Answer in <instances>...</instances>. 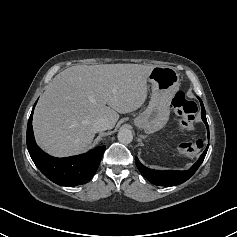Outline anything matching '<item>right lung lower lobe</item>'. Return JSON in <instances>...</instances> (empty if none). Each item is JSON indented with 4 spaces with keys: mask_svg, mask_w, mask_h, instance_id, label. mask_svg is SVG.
Listing matches in <instances>:
<instances>
[{
    "mask_svg": "<svg viewBox=\"0 0 237 237\" xmlns=\"http://www.w3.org/2000/svg\"><path fill=\"white\" fill-rule=\"evenodd\" d=\"M34 107L28 120L26 141L29 154L37 168L58 185L77 186L89 182L98 169L105 146L78 156L66 158L49 156L36 145L34 140L32 128Z\"/></svg>",
    "mask_w": 237,
    "mask_h": 237,
    "instance_id": "obj_1",
    "label": "right lung lower lobe"
}]
</instances>
